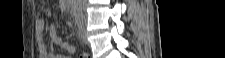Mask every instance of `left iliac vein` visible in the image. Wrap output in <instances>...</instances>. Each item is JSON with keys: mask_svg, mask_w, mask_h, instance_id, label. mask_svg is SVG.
Returning <instances> with one entry per match:
<instances>
[{"mask_svg": "<svg viewBox=\"0 0 225 58\" xmlns=\"http://www.w3.org/2000/svg\"><path fill=\"white\" fill-rule=\"evenodd\" d=\"M83 23H84L83 19H80V24H79V36H80V39H81L84 43L88 44L87 33H86V30H85V28H84V26H83Z\"/></svg>", "mask_w": 225, "mask_h": 58, "instance_id": "4c4485c4", "label": "left iliac vein"}]
</instances>
